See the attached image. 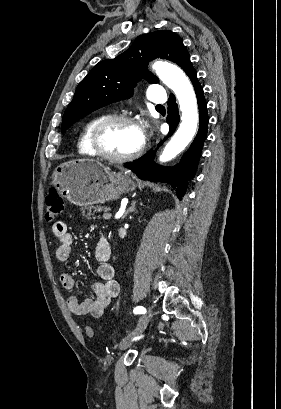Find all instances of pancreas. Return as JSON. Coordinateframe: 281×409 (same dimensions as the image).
<instances>
[{"mask_svg": "<svg viewBox=\"0 0 281 409\" xmlns=\"http://www.w3.org/2000/svg\"><path fill=\"white\" fill-rule=\"evenodd\" d=\"M87 209V215H84V217H87V219H96L94 217V213H102V211L107 212V207H85ZM84 211V209H82ZM104 219V216H103Z\"/></svg>", "mask_w": 281, "mask_h": 409, "instance_id": "obj_1", "label": "pancreas"}]
</instances>
